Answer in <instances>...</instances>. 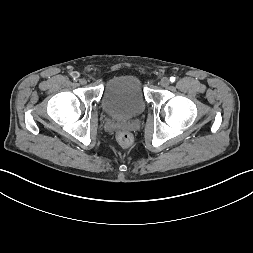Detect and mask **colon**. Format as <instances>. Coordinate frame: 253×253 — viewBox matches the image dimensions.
<instances>
[{"label": "colon", "mask_w": 253, "mask_h": 253, "mask_svg": "<svg viewBox=\"0 0 253 253\" xmlns=\"http://www.w3.org/2000/svg\"><path fill=\"white\" fill-rule=\"evenodd\" d=\"M117 140H118L122 145H124V146H129V145H131L132 142H133V137H132V135H131L129 132L122 130V131H119V132L117 133Z\"/></svg>", "instance_id": "1"}]
</instances>
